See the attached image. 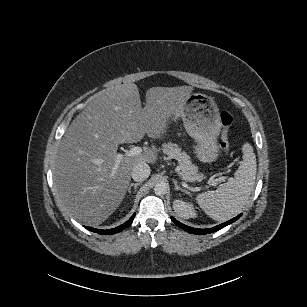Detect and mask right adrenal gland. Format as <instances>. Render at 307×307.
Segmentation results:
<instances>
[{"instance_id": "2a0ac1e0", "label": "right adrenal gland", "mask_w": 307, "mask_h": 307, "mask_svg": "<svg viewBox=\"0 0 307 307\" xmlns=\"http://www.w3.org/2000/svg\"><path fill=\"white\" fill-rule=\"evenodd\" d=\"M141 185V182H132L129 184L128 188H127V191H130L131 190V187L134 186V189L136 190L137 189V186Z\"/></svg>"}]
</instances>
